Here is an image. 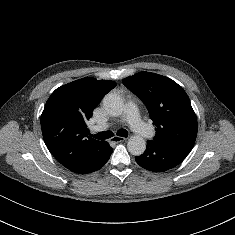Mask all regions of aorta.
Listing matches in <instances>:
<instances>
[{
	"mask_svg": "<svg viewBox=\"0 0 235 235\" xmlns=\"http://www.w3.org/2000/svg\"><path fill=\"white\" fill-rule=\"evenodd\" d=\"M103 108L114 117L120 116L124 109L123 99L116 93L107 94L102 100ZM128 151L135 156H140L146 149L145 140L138 135L131 136L127 143Z\"/></svg>",
	"mask_w": 235,
	"mask_h": 235,
	"instance_id": "aorta-1",
	"label": "aorta"
}]
</instances>
